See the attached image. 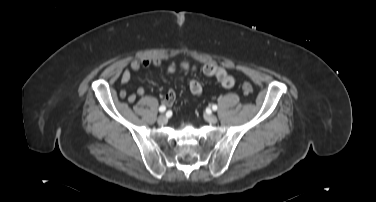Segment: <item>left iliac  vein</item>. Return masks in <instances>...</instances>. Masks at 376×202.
Wrapping results in <instances>:
<instances>
[{
    "label": "left iliac vein",
    "instance_id": "left-iliac-vein-1",
    "mask_svg": "<svg viewBox=\"0 0 376 202\" xmlns=\"http://www.w3.org/2000/svg\"><path fill=\"white\" fill-rule=\"evenodd\" d=\"M204 117H205V120L209 122L210 124H215L218 121L217 117L213 114H206Z\"/></svg>",
    "mask_w": 376,
    "mask_h": 202
}]
</instances>
